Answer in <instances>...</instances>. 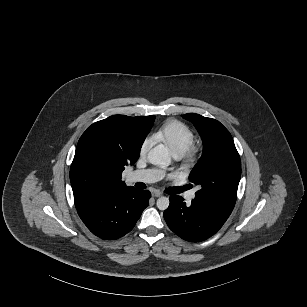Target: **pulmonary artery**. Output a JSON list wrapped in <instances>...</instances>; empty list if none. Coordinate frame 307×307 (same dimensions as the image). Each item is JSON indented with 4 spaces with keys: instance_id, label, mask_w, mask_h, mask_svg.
<instances>
[{
    "instance_id": "1",
    "label": "pulmonary artery",
    "mask_w": 307,
    "mask_h": 307,
    "mask_svg": "<svg viewBox=\"0 0 307 307\" xmlns=\"http://www.w3.org/2000/svg\"><path fill=\"white\" fill-rule=\"evenodd\" d=\"M162 177V173L155 169H149L146 171H131L128 175L129 180L140 179L145 183H153L160 180ZM194 197V195H192Z\"/></svg>"
}]
</instances>
